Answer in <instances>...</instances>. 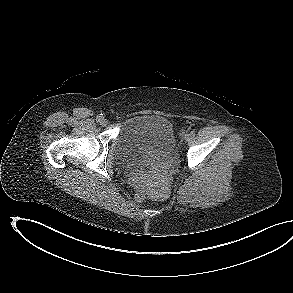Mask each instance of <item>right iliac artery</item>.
I'll list each match as a JSON object with an SVG mask.
<instances>
[{
    "instance_id": "82829eb1",
    "label": "right iliac artery",
    "mask_w": 293,
    "mask_h": 293,
    "mask_svg": "<svg viewBox=\"0 0 293 293\" xmlns=\"http://www.w3.org/2000/svg\"><path fill=\"white\" fill-rule=\"evenodd\" d=\"M102 119H103L102 114L96 117V120H97L98 122H101Z\"/></svg>"
}]
</instances>
